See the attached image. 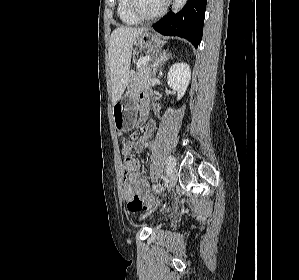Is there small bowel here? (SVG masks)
<instances>
[{
  "label": "small bowel",
  "mask_w": 299,
  "mask_h": 280,
  "mask_svg": "<svg viewBox=\"0 0 299 280\" xmlns=\"http://www.w3.org/2000/svg\"><path fill=\"white\" fill-rule=\"evenodd\" d=\"M142 102L145 103L144 101H141L140 105ZM145 109H142L140 106V110L142 111V121L144 120ZM155 128L156 125L153 121H149L146 123L144 131L135 143L136 152L139 153L144 148L149 147V140L152 137ZM150 190V183L145 178V176L142 173L133 172L125 177V184L123 185L122 195L126 201H130L135 197H139L140 199L147 201L150 197Z\"/></svg>",
  "instance_id": "obj_1"
}]
</instances>
